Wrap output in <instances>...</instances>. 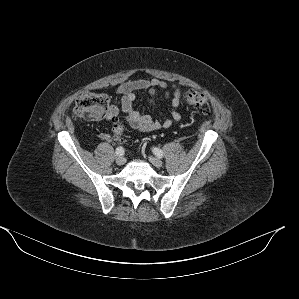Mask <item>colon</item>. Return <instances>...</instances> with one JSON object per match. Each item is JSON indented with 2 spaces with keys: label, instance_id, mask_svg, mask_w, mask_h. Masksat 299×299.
<instances>
[{
  "label": "colon",
  "instance_id": "5ec220e1",
  "mask_svg": "<svg viewBox=\"0 0 299 299\" xmlns=\"http://www.w3.org/2000/svg\"><path fill=\"white\" fill-rule=\"evenodd\" d=\"M184 100L204 114H208L211 111L209 100L202 92L188 91L184 95ZM108 107L109 97L107 95L86 92L77 97L73 114L77 119L96 121L105 117ZM114 131L120 136L122 132L121 126L116 124Z\"/></svg>",
  "mask_w": 299,
  "mask_h": 299
}]
</instances>
